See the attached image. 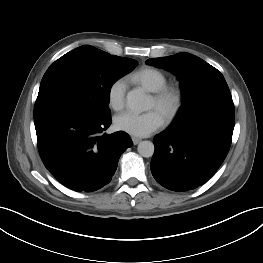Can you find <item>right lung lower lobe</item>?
Segmentation results:
<instances>
[{"mask_svg": "<svg viewBox=\"0 0 263 263\" xmlns=\"http://www.w3.org/2000/svg\"><path fill=\"white\" fill-rule=\"evenodd\" d=\"M34 122L45 167L61 184L77 192L96 191L108 184L121 154L133 145L123 131L102 134L110 126L111 116L56 112Z\"/></svg>", "mask_w": 263, "mask_h": 263, "instance_id": "1", "label": "right lung lower lobe"}]
</instances>
